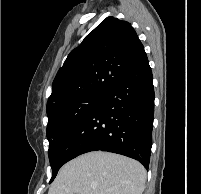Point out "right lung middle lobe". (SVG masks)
<instances>
[{
  "label": "right lung middle lobe",
  "mask_w": 201,
  "mask_h": 194,
  "mask_svg": "<svg viewBox=\"0 0 201 194\" xmlns=\"http://www.w3.org/2000/svg\"><path fill=\"white\" fill-rule=\"evenodd\" d=\"M103 95L86 96L64 103L48 115L47 139L49 141V160L52 167V178L56 177L60 167L54 157L55 151L61 145L64 136L80 122L101 100Z\"/></svg>",
  "instance_id": "right-lung-middle-lobe-1"
}]
</instances>
